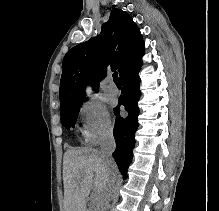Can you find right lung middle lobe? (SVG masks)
<instances>
[{
    "mask_svg": "<svg viewBox=\"0 0 219 211\" xmlns=\"http://www.w3.org/2000/svg\"><path fill=\"white\" fill-rule=\"evenodd\" d=\"M83 100L60 106L61 121L65 128H74Z\"/></svg>",
    "mask_w": 219,
    "mask_h": 211,
    "instance_id": "right-lung-middle-lobe-1",
    "label": "right lung middle lobe"
}]
</instances>
